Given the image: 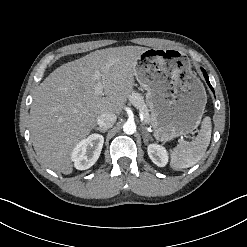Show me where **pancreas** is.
<instances>
[{"label":"pancreas","mask_w":247,"mask_h":247,"mask_svg":"<svg viewBox=\"0 0 247 247\" xmlns=\"http://www.w3.org/2000/svg\"><path fill=\"white\" fill-rule=\"evenodd\" d=\"M128 98L130 103L133 104L137 109H139V111L143 113L145 123H151L149 110L144 102L143 96L137 92H132Z\"/></svg>","instance_id":"1"}]
</instances>
